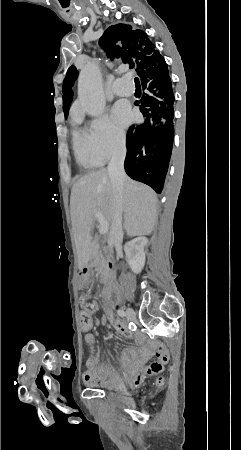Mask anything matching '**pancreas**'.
<instances>
[{
	"mask_svg": "<svg viewBox=\"0 0 241 450\" xmlns=\"http://www.w3.org/2000/svg\"><path fill=\"white\" fill-rule=\"evenodd\" d=\"M99 260H101V262H104V258L102 256V254H98L97 260H95V262H93L94 266H97V264H99ZM103 266H104V264H103ZM99 274H102L101 270H99ZM106 276H107V278H109L108 270L106 272ZM100 282H106V280H100Z\"/></svg>",
	"mask_w": 241,
	"mask_h": 450,
	"instance_id": "cf45deb5",
	"label": "pancreas"
}]
</instances>
